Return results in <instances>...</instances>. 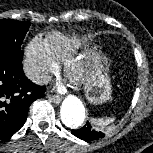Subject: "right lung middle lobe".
<instances>
[{"mask_svg": "<svg viewBox=\"0 0 153 153\" xmlns=\"http://www.w3.org/2000/svg\"><path fill=\"white\" fill-rule=\"evenodd\" d=\"M30 23L10 19L0 20V58L22 60L21 45Z\"/></svg>", "mask_w": 153, "mask_h": 153, "instance_id": "1", "label": "right lung middle lobe"}]
</instances>
